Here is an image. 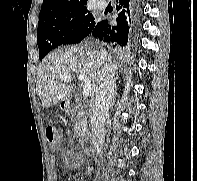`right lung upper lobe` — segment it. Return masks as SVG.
<instances>
[{
    "label": "right lung upper lobe",
    "mask_w": 197,
    "mask_h": 181,
    "mask_svg": "<svg viewBox=\"0 0 197 181\" xmlns=\"http://www.w3.org/2000/svg\"><path fill=\"white\" fill-rule=\"evenodd\" d=\"M87 0H44L39 20L86 7Z\"/></svg>",
    "instance_id": "1"
}]
</instances>
